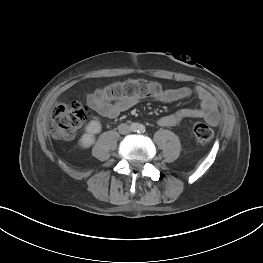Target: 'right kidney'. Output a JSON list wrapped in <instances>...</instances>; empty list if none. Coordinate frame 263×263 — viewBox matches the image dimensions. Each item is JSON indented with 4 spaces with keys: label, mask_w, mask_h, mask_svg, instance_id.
Segmentation results:
<instances>
[{
    "label": "right kidney",
    "mask_w": 263,
    "mask_h": 263,
    "mask_svg": "<svg viewBox=\"0 0 263 263\" xmlns=\"http://www.w3.org/2000/svg\"><path fill=\"white\" fill-rule=\"evenodd\" d=\"M101 123L97 120H92L86 126L85 132L80 138V144L84 148L90 147L95 142V134L100 133Z\"/></svg>",
    "instance_id": "right-kidney-1"
}]
</instances>
